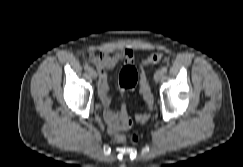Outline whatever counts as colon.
<instances>
[{
  "instance_id": "colon-1",
  "label": "colon",
  "mask_w": 243,
  "mask_h": 167,
  "mask_svg": "<svg viewBox=\"0 0 243 167\" xmlns=\"http://www.w3.org/2000/svg\"><path fill=\"white\" fill-rule=\"evenodd\" d=\"M163 59V55L160 52H153L147 58L140 62V67L144 68L148 65H153L159 63ZM119 86L122 90H133L138 81V74L136 69L131 65H125L118 77ZM140 92L147 105L148 112L143 113L137 117L140 122H146L150 116L151 111L154 107V97L150 89L146 74L143 72L140 79ZM132 125V120L126 115L125 112L121 113L117 122L112 123L109 127V131L113 138L117 142H124L126 140L123 131L128 129ZM139 138L138 133H133L129 137V140L136 142Z\"/></svg>"
}]
</instances>
